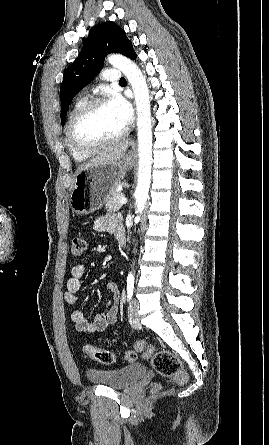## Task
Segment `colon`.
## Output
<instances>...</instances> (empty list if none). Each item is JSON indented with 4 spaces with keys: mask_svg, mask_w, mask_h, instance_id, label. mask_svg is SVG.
<instances>
[{
    "mask_svg": "<svg viewBox=\"0 0 269 445\" xmlns=\"http://www.w3.org/2000/svg\"><path fill=\"white\" fill-rule=\"evenodd\" d=\"M87 247V240L84 236H75L71 243V254L73 257H81ZM136 351L128 350L117 355L113 352L102 350L90 345L83 348V352L93 360L110 365L118 360L126 363H133L137 359V352L141 353L145 359H149L155 371L163 377L171 378L176 382H184L186 374L183 370L180 359L168 350H156L143 341H138L135 345Z\"/></svg>",
    "mask_w": 269,
    "mask_h": 445,
    "instance_id": "obj_1",
    "label": "colon"
}]
</instances>
